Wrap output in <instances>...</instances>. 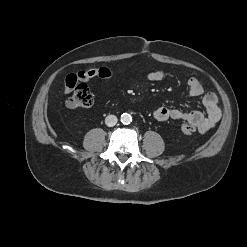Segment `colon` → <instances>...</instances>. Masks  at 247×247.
I'll use <instances>...</instances> for the list:
<instances>
[{"label": "colon", "mask_w": 247, "mask_h": 247, "mask_svg": "<svg viewBox=\"0 0 247 247\" xmlns=\"http://www.w3.org/2000/svg\"><path fill=\"white\" fill-rule=\"evenodd\" d=\"M93 103V96L85 84H79L72 90L71 95L66 100L69 108H87ZM180 130L185 135H190L195 131V127L190 124H182Z\"/></svg>", "instance_id": "1"}]
</instances>
